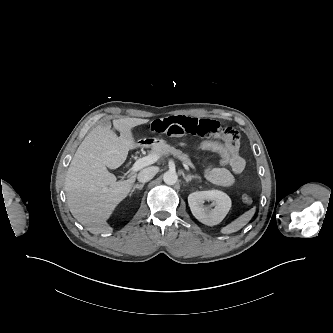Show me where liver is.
<instances>
[{"instance_id":"1","label":"liver","mask_w":333,"mask_h":333,"mask_svg":"<svg viewBox=\"0 0 333 333\" xmlns=\"http://www.w3.org/2000/svg\"><path fill=\"white\" fill-rule=\"evenodd\" d=\"M148 119L113 120L118 137L110 124L98 125L84 138L75 152L65 177L67 203L73 217L92 234L113 231L107 223L116 206L130 192L136 176L119 180L107 170L120 167L136 143L132 128Z\"/></svg>"}]
</instances>
